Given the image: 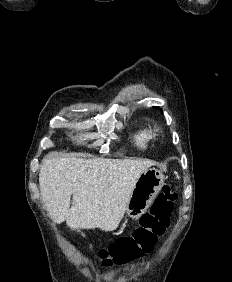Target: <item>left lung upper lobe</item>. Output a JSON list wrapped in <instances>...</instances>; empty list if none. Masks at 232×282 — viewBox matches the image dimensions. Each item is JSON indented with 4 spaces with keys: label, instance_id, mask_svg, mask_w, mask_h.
<instances>
[{
    "label": "left lung upper lobe",
    "instance_id": "left-lung-upper-lobe-1",
    "mask_svg": "<svg viewBox=\"0 0 232 282\" xmlns=\"http://www.w3.org/2000/svg\"><path fill=\"white\" fill-rule=\"evenodd\" d=\"M155 108L160 110V108H159V107H155Z\"/></svg>",
    "mask_w": 232,
    "mask_h": 282
}]
</instances>
